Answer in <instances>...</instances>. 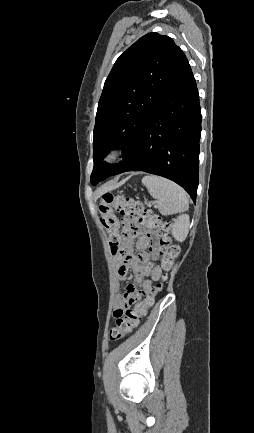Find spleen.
Returning a JSON list of instances; mask_svg holds the SVG:
<instances>
[{
	"instance_id": "spleen-1",
	"label": "spleen",
	"mask_w": 254,
	"mask_h": 433,
	"mask_svg": "<svg viewBox=\"0 0 254 433\" xmlns=\"http://www.w3.org/2000/svg\"><path fill=\"white\" fill-rule=\"evenodd\" d=\"M142 184L146 186L150 195L157 200V207L162 215H172L188 209L187 194L176 183L163 177L147 175L143 177Z\"/></svg>"
}]
</instances>
